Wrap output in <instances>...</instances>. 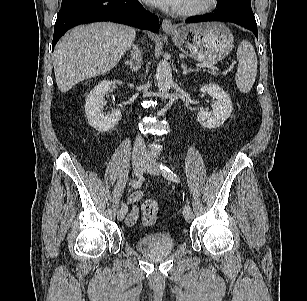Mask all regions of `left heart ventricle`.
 <instances>
[{
	"label": "left heart ventricle",
	"instance_id": "1",
	"mask_svg": "<svg viewBox=\"0 0 307 301\" xmlns=\"http://www.w3.org/2000/svg\"><path fill=\"white\" fill-rule=\"evenodd\" d=\"M201 0H181L178 8H185L198 3Z\"/></svg>",
	"mask_w": 307,
	"mask_h": 301
}]
</instances>
